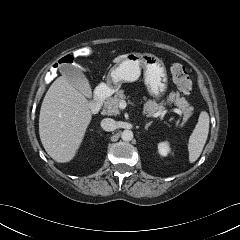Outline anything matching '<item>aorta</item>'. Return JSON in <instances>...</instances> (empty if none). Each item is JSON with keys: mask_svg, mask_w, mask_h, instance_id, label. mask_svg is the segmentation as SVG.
Segmentation results:
<instances>
[{"mask_svg": "<svg viewBox=\"0 0 240 240\" xmlns=\"http://www.w3.org/2000/svg\"><path fill=\"white\" fill-rule=\"evenodd\" d=\"M123 141H131L133 139V132L131 130H124L121 134Z\"/></svg>", "mask_w": 240, "mask_h": 240, "instance_id": "762f6f07", "label": "aorta"}]
</instances>
